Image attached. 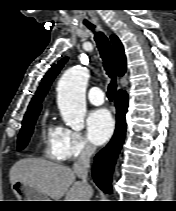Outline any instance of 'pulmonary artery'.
I'll list each match as a JSON object with an SVG mask.
<instances>
[{"mask_svg": "<svg viewBox=\"0 0 176 211\" xmlns=\"http://www.w3.org/2000/svg\"><path fill=\"white\" fill-rule=\"evenodd\" d=\"M88 100L93 105H102L105 101L102 89L99 87H92L88 92Z\"/></svg>", "mask_w": 176, "mask_h": 211, "instance_id": "pulmonary-artery-1", "label": "pulmonary artery"}]
</instances>
